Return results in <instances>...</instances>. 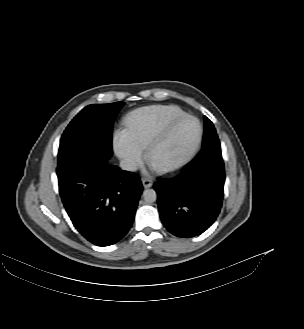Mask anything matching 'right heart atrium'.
Here are the masks:
<instances>
[{
	"instance_id": "d8ad5b80",
	"label": "right heart atrium",
	"mask_w": 304,
	"mask_h": 329,
	"mask_svg": "<svg viewBox=\"0 0 304 329\" xmlns=\"http://www.w3.org/2000/svg\"><path fill=\"white\" fill-rule=\"evenodd\" d=\"M113 145L116 154L132 168H138L144 160L143 150L135 143L130 133L123 128H118L113 136Z\"/></svg>"
}]
</instances>
